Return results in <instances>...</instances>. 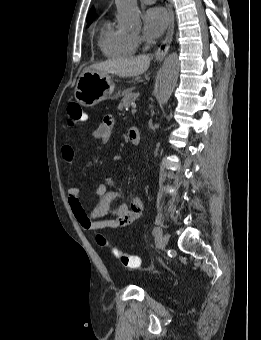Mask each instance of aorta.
Returning a JSON list of instances; mask_svg holds the SVG:
<instances>
[{"label":"aorta","mask_w":261,"mask_h":340,"mask_svg":"<svg viewBox=\"0 0 261 340\" xmlns=\"http://www.w3.org/2000/svg\"><path fill=\"white\" fill-rule=\"evenodd\" d=\"M117 19L126 28H136L140 25V11L137 0H115ZM180 63L178 55L173 52L167 56L161 68L159 80L158 102L160 107L170 99L177 83Z\"/></svg>","instance_id":"1"}]
</instances>
